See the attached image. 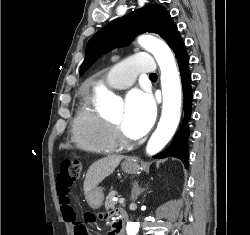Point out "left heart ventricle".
<instances>
[{
  "label": "left heart ventricle",
  "mask_w": 250,
  "mask_h": 235,
  "mask_svg": "<svg viewBox=\"0 0 250 235\" xmlns=\"http://www.w3.org/2000/svg\"><path fill=\"white\" fill-rule=\"evenodd\" d=\"M123 116H124V113L123 111L121 110L118 114H116L115 116L111 117L110 120L114 123H117L119 124L120 126H122L123 128ZM123 131L126 135L130 136L123 128Z\"/></svg>",
  "instance_id": "1"
}]
</instances>
